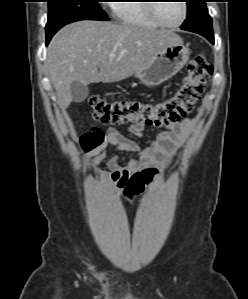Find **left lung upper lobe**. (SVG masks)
Listing matches in <instances>:
<instances>
[{"instance_id": "1", "label": "left lung upper lobe", "mask_w": 248, "mask_h": 299, "mask_svg": "<svg viewBox=\"0 0 248 299\" xmlns=\"http://www.w3.org/2000/svg\"><path fill=\"white\" fill-rule=\"evenodd\" d=\"M206 0H186L188 15L181 29L199 33L205 30L213 34L212 19L208 13Z\"/></svg>"}]
</instances>
